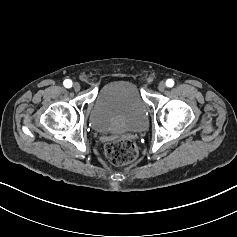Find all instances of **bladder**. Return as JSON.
I'll use <instances>...</instances> for the list:
<instances>
[{"mask_svg": "<svg viewBox=\"0 0 237 237\" xmlns=\"http://www.w3.org/2000/svg\"><path fill=\"white\" fill-rule=\"evenodd\" d=\"M147 122L148 105L134 82L115 80L98 91L90 114L95 131H139Z\"/></svg>", "mask_w": 237, "mask_h": 237, "instance_id": "obj_1", "label": "bladder"}]
</instances>
